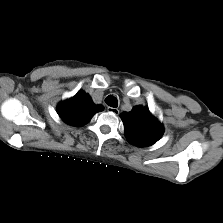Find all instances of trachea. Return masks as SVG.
<instances>
[{
  "label": "trachea",
  "instance_id": "trachea-1",
  "mask_svg": "<svg viewBox=\"0 0 223 223\" xmlns=\"http://www.w3.org/2000/svg\"><path fill=\"white\" fill-rule=\"evenodd\" d=\"M105 102L108 106L116 108L118 106V100L116 97L109 95L106 97Z\"/></svg>",
  "mask_w": 223,
  "mask_h": 223
}]
</instances>
